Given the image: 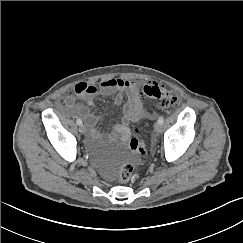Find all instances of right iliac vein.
Segmentation results:
<instances>
[{"instance_id": "obj_1", "label": "right iliac vein", "mask_w": 243, "mask_h": 243, "mask_svg": "<svg viewBox=\"0 0 243 243\" xmlns=\"http://www.w3.org/2000/svg\"><path fill=\"white\" fill-rule=\"evenodd\" d=\"M79 131H80V133L85 134L86 133V126L81 124L80 127H79Z\"/></svg>"}]
</instances>
